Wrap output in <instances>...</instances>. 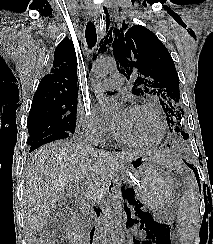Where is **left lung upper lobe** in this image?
<instances>
[{"instance_id": "obj_1", "label": "left lung upper lobe", "mask_w": 213, "mask_h": 244, "mask_svg": "<svg viewBox=\"0 0 213 244\" xmlns=\"http://www.w3.org/2000/svg\"><path fill=\"white\" fill-rule=\"evenodd\" d=\"M109 38L120 73L133 80L132 93L156 98L172 133L185 140V113L179 103V78L163 43L147 28L135 25L114 30Z\"/></svg>"}]
</instances>
